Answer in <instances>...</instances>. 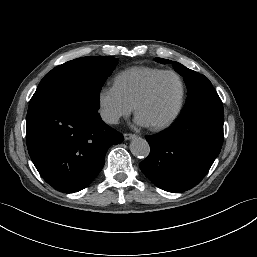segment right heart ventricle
<instances>
[{"label": "right heart ventricle", "instance_id": "1", "mask_svg": "<svg viewBox=\"0 0 257 257\" xmlns=\"http://www.w3.org/2000/svg\"><path fill=\"white\" fill-rule=\"evenodd\" d=\"M163 69L149 66H137L120 72L114 79V87L132 105L147 83Z\"/></svg>", "mask_w": 257, "mask_h": 257}]
</instances>
